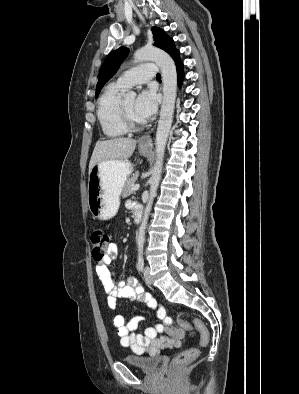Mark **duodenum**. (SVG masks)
Listing matches in <instances>:
<instances>
[{
	"label": "duodenum",
	"instance_id": "duodenum-1",
	"mask_svg": "<svg viewBox=\"0 0 299 394\" xmlns=\"http://www.w3.org/2000/svg\"><path fill=\"white\" fill-rule=\"evenodd\" d=\"M142 211L140 209H136L134 212V220L136 223H140L142 220Z\"/></svg>",
	"mask_w": 299,
	"mask_h": 394
}]
</instances>
